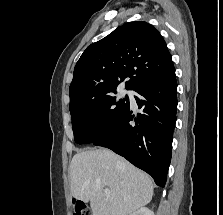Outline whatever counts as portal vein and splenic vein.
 I'll list each match as a JSON object with an SVG mask.
<instances>
[{
    "label": "portal vein and splenic vein",
    "mask_w": 223,
    "mask_h": 215,
    "mask_svg": "<svg viewBox=\"0 0 223 215\" xmlns=\"http://www.w3.org/2000/svg\"><path fill=\"white\" fill-rule=\"evenodd\" d=\"M107 197H110V189H108V187H106V189H104Z\"/></svg>",
    "instance_id": "1"
}]
</instances>
